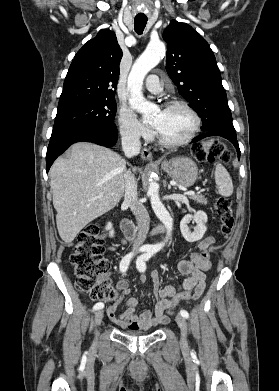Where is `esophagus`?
Instances as JSON below:
<instances>
[{
	"instance_id": "34e87169",
	"label": "esophagus",
	"mask_w": 279,
	"mask_h": 391,
	"mask_svg": "<svg viewBox=\"0 0 279 391\" xmlns=\"http://www.w3.org/2000/svg\"><path fill=\"white\" fill-rule=\"evenodd\" d=\"M141 157L144 160H152V153L149 150H147V149H143L141 151Z\"/></svg>"
}]
</instances>
